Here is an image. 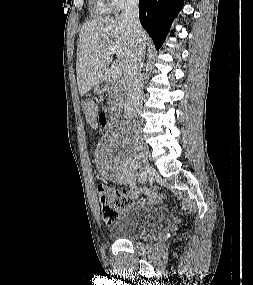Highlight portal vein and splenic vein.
<instances>
[{"label":"portal vein and splenic vein","instance_id":"obj_1","mask_svg":"<svg viewBox=\"0 0 253 285\" xmlns=\"http://www.w3.org/2000/svg\"><path fill=\"white\" fill-rule=\"evenodd\" d=\"M110 51H111V54L112 56L115 55L116 53V49L114 47H111L110 48ZM111 72H112V78L113 79H118L121 74H122V71H121V67L120 65L118 64V61H115L112 66H111Z\"/></svg>","mask_w":253,"mask_h":285}]
</instances>
